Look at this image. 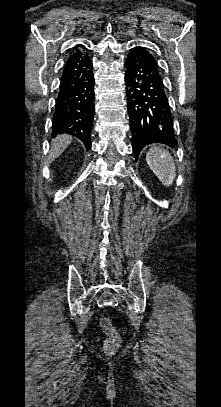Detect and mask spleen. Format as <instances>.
I'll use <instances>...</instances> for the list:
<instances>
[{
	"label": "spleen",
	"instance_id": "1",
	"mask_svg": "<svg viewBox=\"0 0 221 407\" xmlns=\"http://www.w3.org/2000/svg\"><path fill=\"white\" fill-rule=\"evenodd\" d=\"M146 161L163 185H172L176 176V166L167 150L153 145L146 154Z\"/></svg>",
	"mask_w": 221,
	"mask_h": 407
}]
</instances>
